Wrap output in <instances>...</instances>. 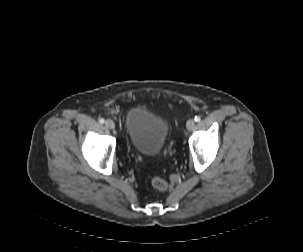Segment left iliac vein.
<instances>
[{
	"label": "left iliac vein",
	"mask_w": 303,
	"mask_h": 252,
	"mask_svg": "<svg viewBox=\"0 0 303 252\" xmlns=\"http://www.w3.org/2000/svg\"><path fill=\"white\" fill-rule=\"evenodd\" d=\"M186 127L188 131H191L195 127V120L194 119H189L186 123Z\"/></svg>",
	"instance_id": "1"
}]
</instances>
